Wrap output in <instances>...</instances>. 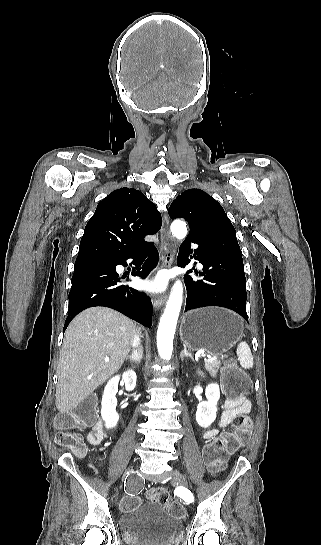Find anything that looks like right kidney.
I'll use <instances>...</instances> for the list:
<instances>
[{"instance_id":"1","label":"right kidney","mask_w":321,"mask_h":545,"mask_svg":"<svg viewBox=\"0 0 321 545\" xmlns=\"http://www.w3.org/2000/svg\"><path fill=\"white\" fill-rule=\"evenodd\" d=\"M136 379L137 377L135 371H125V373H123L122 381L125 385L126 391H133V389H135ZM119 381L120 375L112 377V379L108 381L104 389L101 403V415L103 421H105L106 429H112V427H116L119 421V415L118 413H116L117 399L115 397L116 393H118Z\"/></svg>"}]
</instances>
